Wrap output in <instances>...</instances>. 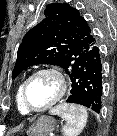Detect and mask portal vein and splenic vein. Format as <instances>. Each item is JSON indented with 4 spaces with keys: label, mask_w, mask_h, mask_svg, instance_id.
<instances>
[{
    "label": "portal vein and splenic vein",
    "mask_w": 117,
    "mask_h": 136,
    "mask_svg": "<svg viewBox=\"0 0 117 136\" xmlns=\"http://www.w3.org/2000/svg\"><path fill=\"white\" fill-rule=\"evenodd\" d=\"M50 136H54V134H53V133H51V134H50Z\"/></svg>",
    "instance_id": "1"
}]
</instances>
